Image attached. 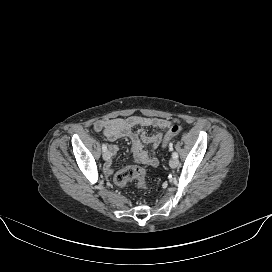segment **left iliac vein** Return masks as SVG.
Segmentation results:
<instances>
[{
  "mask_svg": "<svg viewBox=\"0 0 272 272\" xmlns=\"http://www.w3.org/2000/svg\"><path fill=\"white\" fill-rule=\"evenodd\" d=\"M179 164V161L176 159V158H172L170 161H169V165L172 167V168H176Z\"/></svg>",
  "mask_w": 272,
  "mask_h": 272,
  "instance_id": "4c4485c4",
  "label": "left iliac vein"
}]
</instances>
